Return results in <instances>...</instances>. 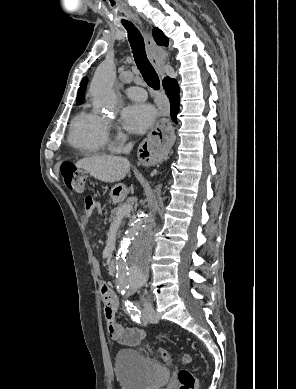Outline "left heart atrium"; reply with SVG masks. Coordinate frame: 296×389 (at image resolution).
<instances>
[{"mask_svg":"<svg viewBox=\"0 0 296 389\" xmlns=\"http://www.w3.org/2000/svg\"><path fill=\"white\" fill-rule=\"evenodd\" d=\"M156 110L144 103H133L126 106L122 112V122L125 129L134 134L145 133L156 120Z\"/></svg>","mask_w":296,"mask_h":389,"instance_id":"1","label":"left heart atrium"}]
</instances>
